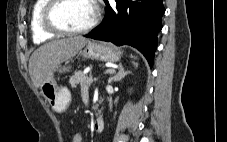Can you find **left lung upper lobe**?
I'll use <instances>...</instances> for the list:
<instances>
[{
  "instance_id": "1",
  "label": "left lung upper lobe",
  "mask_w": 227,
  "mask_h": 142,
  "mask_svg": "<svg viewBox=\"0 0 227 142\" xmlns=\"http://www.w3.org/2000/svg\"><path fill=\"white\" fill-rule=\"evenodd\" d=\"M105 1V3H106V5L108 4V0H104Z\"/></svg>"
}]
</instances>
